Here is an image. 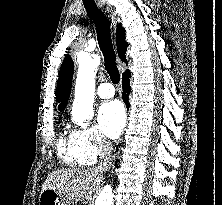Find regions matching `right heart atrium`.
Returning a JSON list of instances; mask_svg holds the SVG:
<instances>
[{
    "mask_svg": "<svg viewBox=\"0 0 222 205\" xmlns=\"http://www.w3.org/2000/svg\"><path fill=\"white\" fill-rule=\"evenodd\" d=\"M70 140L86 164L94 163L109 151V144L95 126L77 127Z\"/></svg>",
    "mask_w": 222,
    "mask_h": 205,
    "instance_id": "d8ad5b80",
    "label": "right heart atrium"
}]
</instances>
